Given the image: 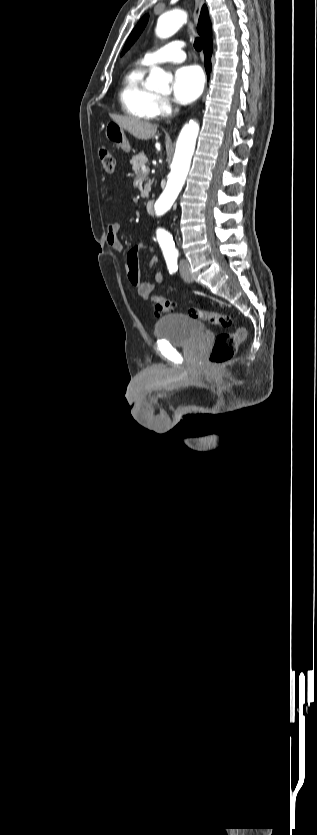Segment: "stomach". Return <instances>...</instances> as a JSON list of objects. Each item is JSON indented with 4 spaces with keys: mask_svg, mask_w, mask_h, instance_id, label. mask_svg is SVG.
<instances>
[{
    "mask_svg": "<svg viewBox=\"0 0 317 835\" xmlns=\"http://www.w3.org/2000/svg\"><path fill=\"white\" fill-rule=\"evenodd\" d=\"M105 135L107 140L110 141L113 145L122 149L126 153L130 152L131 146L124 133V128L122 126H120L116 122H108L105 127Z\"/></svg>",
    "mask_w": 317,
    "mask_h": 835,
    "instance_id": "0dacf381",
    "label": "stomach"
}]
</instances>
